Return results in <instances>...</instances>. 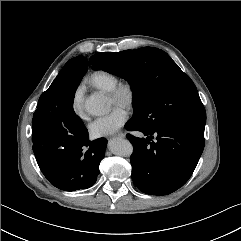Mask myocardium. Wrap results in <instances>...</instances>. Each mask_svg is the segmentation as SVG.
I'll return each mask as SVG.
<instances>
[{"mask_svg": "<svg viewBox=\"0 0 241 241\" xmlns=\"http://www.w3.org/2000/svg\"><path fill=\"white\" fill-rule=\"evenodd\" d=\"M109 96L116 102H121L123 107L131 109L137 101V89L132 82H119L109 91Z\"/></svg>", "mask_w": 241, "mask_h": 241, "instance_id": "1", "label": "myocardium"}]
</instances>
